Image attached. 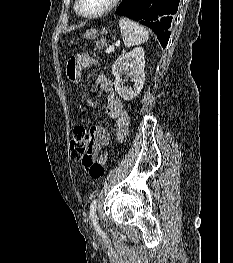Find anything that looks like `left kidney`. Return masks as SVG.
<instances>
[{
  "mask_svg": "<svg viewBox=\"0 0 233 263\" xmlns=\"http://www.w3.org/2000/svg\"><path fill=\"white\" fill-rule=\"evenodd\" d=\"M145 59L142 47H136L128 53L118 57L112 66V73L115 76L114 87L121 98L126 101L134 99L142 90L145 81ZM122 75L126 80L131 78L133 87L125 86Z\"/></svg>",
  "mask_w": 233,
  "mask_h": 263,
  "instance_id": "5707ae66",
  "label": "left kidney"
}]
</instances>
